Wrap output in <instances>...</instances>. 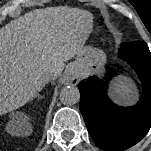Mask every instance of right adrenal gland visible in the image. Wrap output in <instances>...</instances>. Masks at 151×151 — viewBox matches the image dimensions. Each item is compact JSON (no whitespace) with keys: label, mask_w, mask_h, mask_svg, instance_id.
<instances>
[{"label":"right adrenal gland","mask_w":151,"mask_h":151,"mask_svg":"<svg viewBox=\"0 0 151 151\" xmlns=\"http://www.w3.org/2000/svg\"><path fill=\"white\" fill-rule=\"evenodd\" d=\"M35 97H38V98H39V95H38V94H36V95H35Z\"/></svg>","instance_id":"2a0ac1e0"}]
</instances>
